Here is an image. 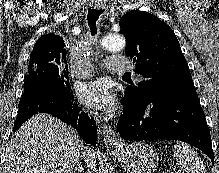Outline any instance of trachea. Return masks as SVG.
<instances>
[{
    "label": "trachea",
    "instance_id": "trachea-1",
    "mask_svg": "<svg viewBox=\"0 0 219 173\" xmlns=\"http://www.w3.org/2000/svg\"><path fill=\"white\" fill-rule=\"evenodd\" d=\"M104 12V10H97V9H89L88 10V26L91 31V35L95 36L97 34V20L99 16Z\"/></svg>",
    "mask_w": 219,
    "mask_h": 173
}]
</instances>
